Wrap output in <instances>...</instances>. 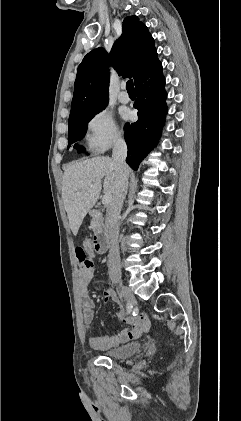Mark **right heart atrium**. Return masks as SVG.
I'll use <instances>...</instances> for the list:
<instances>
[{
    "label": "right heart atrium",
    "mask_w": 241,
    "mask_h": 421,
    "mask_svg": "<svg viewBox=\"0 0 241 421\" xmlns=\"http://www.w3.org/2000/svg\"><path fill=\"white\" fill-rule=\"evenodd\" d=\"M86 141L93 152H104L122 140V133L113 116L101 110L95 113L86 126Z\"/></svg>",
    "instance_id": "1"
}]
</instances>
